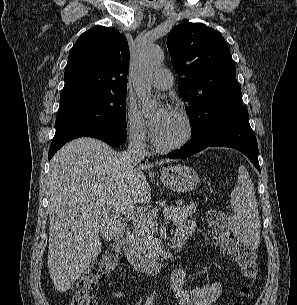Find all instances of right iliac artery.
<instances>
[{"label":"right iliac artery","mask_w":297,"mask_h":305,"mask_svg":"<svg viewBox=\"0 0 297 305\" xmlns=\"http://www.w3.org/2000/svg\"><path fill=\"white\" fill-rule=\"evenodd\" d=\"M153 304V299L152 298H148L145 305H152Z\"/></svg>","instance_id":"82829eb1"}]
</instances>
